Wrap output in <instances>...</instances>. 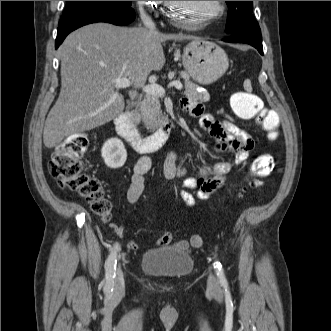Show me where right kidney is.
<instances>
[{
  "label": "right kidney",
  "mask_w": 331,
  "mask_h": 331,
  "mask_svg": "<svg viewBox=\"0 0 331 331\" xmlns=\"http://www.w3.org/2000/svg\"><path fill=\"white\" fill-rule=\"evenodd\" d=\"M101 154L105 164L114 169L122 167L127 159L124 144L118 138L108 139L101 149Z\"/></svg>",
  "instance_id": "1"
}]
</instances>
